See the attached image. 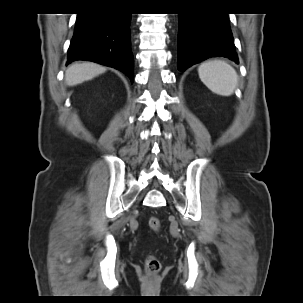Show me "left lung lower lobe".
I'll return each mask as SVG.
<instances>
[{
  "label": "left lung lower lobe",
  "mask_w": 303,
  "mask_h": 303,
  "mask_svg": "<svg viewBox=\"0 0 303 303\" xmlns=\"http://www.w3.org/2000/svg\"><path fill=\"white\" fill-rule=\"evenodd\" d=\"M178 70L211 57L239 63L226 13L178 15Z\"/></svg>",
  "instance_id": "left-lung-lower-lobe-1"
}]
</instances>
